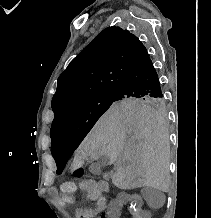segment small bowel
<instances>
[{
	"label": "small bowel",
	"mask_w": 211,
	"mask_h": 218,
	"mask_svg": "<svg viewBox=\"0 0 211 218\" xmlns=\"http://www.w3.org/2000/svg\"><path fill=\"white\" fill-rule=\"evenodd\" d=\"M79 189L87 199L95 204V208L79 209L76 211L77 218H93L98 212L104 210L106 206V199L102 193V189L99 186V182L96 180H84L80 183ZM52 195H57V189H51ZM130 218H148V213L141 208L134 207L129 210Z\"/></svg>",
	"instance_id": "1"
}]
</instances>
